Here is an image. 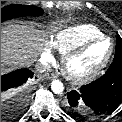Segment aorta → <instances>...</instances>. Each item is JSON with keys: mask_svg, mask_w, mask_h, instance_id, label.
<instances>
[{"mask_svg": "<svg viewBox=\"0 0 122 122\" xmlns=\"http://www.w3.org/2000/svg\"><path fill=\"white\" fill-rule=\"evenodd\" d=\"M51 89L55 94H62L64 90L63 83L59 80H53L51 83Z\"/></svg>", "mask_w": 122, "mask_h": 122, "instance_id": "obj_1", "label": "aorta"}]
</instances>
